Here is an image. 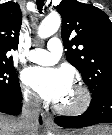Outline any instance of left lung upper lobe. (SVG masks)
<instances>
[{
    "mask_svg": "<svg viewBox=\"0 0 112 135\" xmlns=\"http://www.w3.org/2000/svg\"><path fill=\"white\" fill-rule=\"evenodd\" d=\"M61 36L67 60L75 66L93 96L112 90V23L105 12L77 0H63Z\"/></svg>",
    "mask_w": 112,
    "mask_h": 135,
    "instance_id": "5c2ea615",
    "label": "left lung upper lobe"
}]
</instances>
